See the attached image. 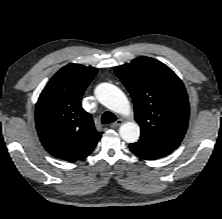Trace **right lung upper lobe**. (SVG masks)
<instances>
[{"label": "right lung upper lobe", "instance_id": "right-lung-upper-lobe-1", "mask_svg": "<svg viewBox=\"0 0 222 219\" xmlns=\"http://www.w3.org/2000/svg\"><path fill=\"white\" fill-rule=\"evenodd\" d=\"M97 70L68 64L48 82L36 104L35 123L44 148L54 157L75 162L87 157L101 138L82 95Z\"/></svg>", "mask_w": 222, "mask_h": 219}]
</instances>
